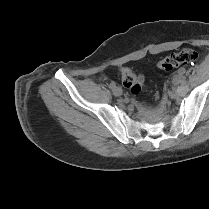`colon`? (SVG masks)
Listing matches in <instances>:
<instances>
[{"label":"colon","instance_id":"1","mask_svg":"<svg viewBox=\"0 0 209 209\" xmlns=\"http://www.w3.org/2000/svg\"><path fill=\"white\" fill-rule=\"evenodd\" d=\"M196 58V52L186 48L162 58L157 63V67L161 70L169 71L181 65L191 64ZM120 77L123 86L132 94H139L142 91L144 82L142 75L135 73L128 67H124L120 70Z\"/></svg>","mask_w":209,"mask_h":209}]
</instances>
